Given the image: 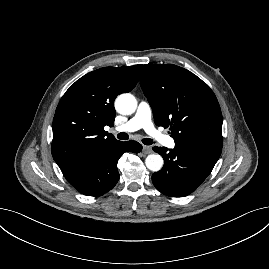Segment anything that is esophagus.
Returning <instances> with one entry per match:
<instances>
[{"label":"esophagus","mask_w":269,"mask_h":269,"mask_svg":"<svg viewBox=\"0 0 269 269\" xmlns=\"http://www.w3.org/2000/svg\"><path fill=\"white\" fill-rule=\"evenodd\" d=\"M143 153L144 154H150L152 153V148L150 146H143Z\"/></svg>","instance_id":"esophagus-1"}]
</instances>
